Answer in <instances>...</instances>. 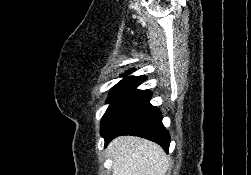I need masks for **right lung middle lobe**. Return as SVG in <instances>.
<instances>
[{"mask_svg": "<svg viewBox=\"0 0 251 175\" xmlns=\"http://www.w3.org/2000/svg\"><path fill=\"white\" fill-rule=\"evenodd\" d=\"M137 83H138V81L133 78H124L123 80H121L118 84H116L111 89L110 96L108 98V103H111V105H112L123 93H125L129 88L136 85ZM109 107H108V109H109ZM106 112H105V114H106Z\"/></svg>", "mask_w": 251, "mask_h": 175, "instance_id": "dd1d6c3e", "label": "right lung middle lobe"}]
</instances>
